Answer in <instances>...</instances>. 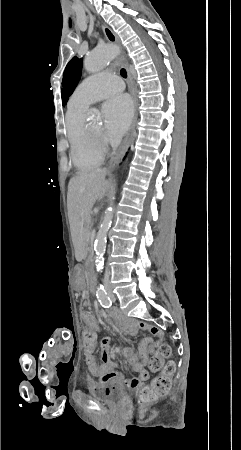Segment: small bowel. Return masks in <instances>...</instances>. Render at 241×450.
<instances>
[{
  "instance_id": "1",
  "label": "small bowel",
  "mask_w": 241,
  "mask_h": 450,
  "mask_svg": "<svg viewBox=\"0 0 241 450\" xmlns=\"http://www.w3.org/2000/svg\"><path fill=\"white\" fill-rule=\"evenodd\" d=\"M83 320L86 327L83 333H96L98 329V321L94 315L88 310L82 313ZM139 331H149L158 339L154 340L151 337H145L139 344L138 350L135 351L132 347H124L120 350L121 355L126 362L137 372V377H126L117 372L115 369L117 363L113 360L110 353V339L104 338L101 345V364H98L95 356H85V363L89 373L98 378L100 382L109 390V384H120L128 388H138L142 383L147 381L150 377V372L147 370V365L150 358L156 353V349L163 341V332L156 326H151L144 321H126L121 325V332L127 336H135ZM97 336V334H96Z\"/></svg>"
}]
</instances>
